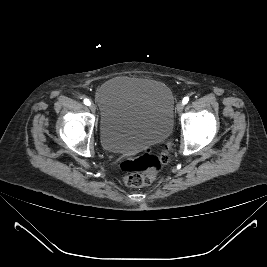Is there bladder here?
<instances>
[{
  "label": "bladder",
  "instance_id": "bladder-1",
  "mask_svg": "<svg viewBox=\"0 0 267 267\" xmlns=\"http://www.w3.org/2000/svg\"><path fill=\"white\" fill-rule=\"evenodd\" d=\"M100 140L106 151L130 153L166 140L174 97L163 83L132 77L106 81L97 91Z\"/></svg>",
  "mask_w": 267,
  "mask_h": 267
}]
</instances>
